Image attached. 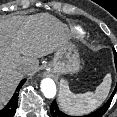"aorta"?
Segmentation results:
<instances>
[{"label":"aorta","mask_w":117,"mask_h":117,"mask_svg":"<svg viewBox=\"0 0 117 117\" xmlns=\"http://www.w3.org/2000/svg\"><path fill=\"white\" fill-rule=\"evenodd\" d=\"M41 91L46 98H54L56 95V85L55 82L50 78H44L41 81Z\"/></svg>","instance_id":"1"}]
</instances>
